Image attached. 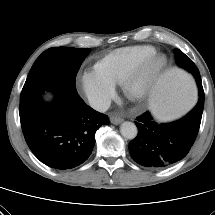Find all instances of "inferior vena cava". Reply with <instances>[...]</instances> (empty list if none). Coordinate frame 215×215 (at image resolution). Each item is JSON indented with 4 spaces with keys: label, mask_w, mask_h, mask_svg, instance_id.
Returning <instances> with one entry per match:
<instances>
[{
    "label": "inferior vena cava",
    "mask_w": 215,
    "mask_h": 215,
    "mask_svg": "<svg viewBox=\"0 0 215 215\" xmlns=\"http://www.w3.org/2000/svg\"><path fill=\"white\" fill-rule=\"evenodd\" d=\"M92 108L99 112H105L111 105V100L108 98H97L90 101Z\"/></svg>",
    "instance_id": "1"
}]
</instances>
